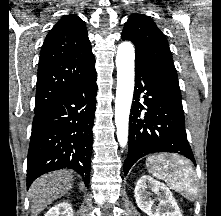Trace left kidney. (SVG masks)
Segmentation results:
<instances>
[{"label": "left kidney", "mask_w": 221, "mask_h": 216, "mask_svg": "<svg viewBox=\"0 0 221 216\" xmlns=\"http://www.w3.org/2000/svg\"><path fill=\"white\" fill-rule=\"evenodd\" d=\"M151 192L157 195L158 206L150 198ZM134 193L138 207L148 216H183L169 188L148 175L139 178Z\"/></svg>", "instance_id": "left-kidney-1"}]
</instances>
